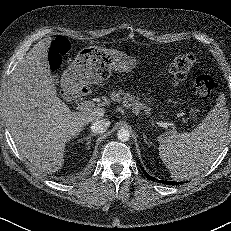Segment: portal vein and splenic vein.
I'll list each match as a JSON object with an SVG mask.
<instances>
[{
  "mask_svg": "<svg viewBox=\"0 0 231 231\" xmlns=\"http://www.w3.org/2000/svg\"><path fill=\"white\" fill-rule=\"evenodd\" d=\"M94 107V103L91 101H85V102H81L78 104V109L82 110V111H87L90 110ZM163 127H174L175 123L174 122H163L162 123Z\"/></svg>",
  "mask_w": 231,
  "mask_h": 231,
  "instance_id": "1",
  "label": "portal vein and splenic vein"
}]
</instances>
